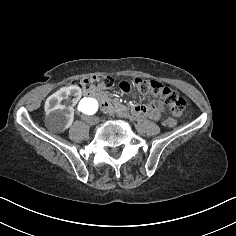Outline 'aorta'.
I'll return each instance as SVG.
<instances>
[{
  "label": "aorta",
  "instance_id": "aorta-1",
  "mask_svg": "<svg viewBox=\"0 0 236 236\" xmlns=\"http://www.w3.org/2000/svg\"><path fill=\"white\" fill-rule=\"evenodd\" d=\"M98 108V101L94 98L87 97L81 102L79 110L83 116H91L97 113Z\"/></svg>",
  "mask_w": 236,
  "mask_h": 236
}]
</instances>
